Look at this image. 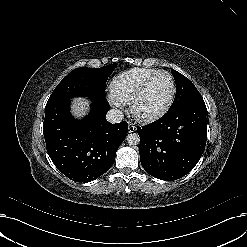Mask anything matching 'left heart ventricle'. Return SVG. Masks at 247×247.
I'll return each instance as SVG.
<instances>
[{
  "label": "left heart ventricle",
  "mask_w": 247,
  "mask_h": 247,
  "mask_svg": "<svg viewBox=\"0 0 247 247\" xmlns=\"http://www.w3.org/2000/svg\"><path fill=\"white\" fill-rule=\"evenodd\" d=\"M171 92V81L166 75L157 76L146 88L137 103L141 114L153 112L164 105Z\"/></svg>",
  "instance_id": "1"
}]
</instances>
